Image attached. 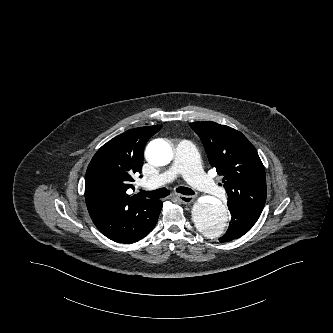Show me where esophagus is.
I'll use <instances>...</instances> for the list:
<instances>
[{"label": "esophagus", "instance_id": "1", "mask_svg": "<svg viewBox=\"0 0 333 333\" xmlns=\"http://www.w3.org/2000/svg\"><path fill=\"white\" fill-rule=\"evenodd\" d=\"M177 198L179 201L183 204H191L194 201L193 196H187V195H178Z\"/></svg>", "mask_w": 333, "mask_h": 333}]
</instances>
